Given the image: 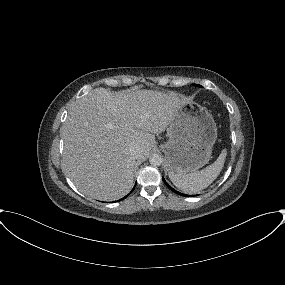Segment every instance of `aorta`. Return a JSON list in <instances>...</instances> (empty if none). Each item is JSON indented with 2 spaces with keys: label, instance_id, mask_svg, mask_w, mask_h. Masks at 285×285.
<instances>
[{
  "label": "aorta",
  "instance_id": "obj_1",
  "mask_svg": "<svg viewBox=\"0 0 285 285\" xmlns=\"http://www.w3.org/2000/svg\"><path fill=\"white\" fill-rule=\"evenodd\" d=\"M149 162L152 166H160L163 162V158L159 154H152L149 158Z\"/></svg>",
  "mask_w": 285,
  "mask_h": 285
}]
</instances>
